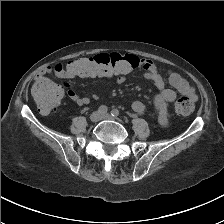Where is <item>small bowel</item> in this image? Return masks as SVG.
Returning a JSON list of instances; mask_svg holds the SVG:
<instances>
[{
  "label": "small bowel",
  "instance_id": "c3829d8e",
  "mask_svg": "<svg viewBox=\"0 0 224 224\" xmlns=\"http://www.w3.org/2000/svg\"><path fill=\"white\" fill-rule=\"evenodd\" d=\"M139 66L143 71L144 77L150 80L158 89L161 90L154 98V105L158 115V122L161 125H166L168 123L169 103L176 99V91L185 96H188L193 101L197 100V95L193 87L177 72H168V82L172 88H165V81L151 60L146 58L139 59ZM50 73H53L62 79H71L76 77V74L70 69L69 66H64L62 63L57 62L42 69L36 76V81L47 80L52 82L47 77V75ZM126 75L127 74L115 75V82L117 84H123L126 81ZM65 89L68 96L78 105H87L90 103V99L88 97L79 96L76 94L72 86L69 84L65 86ZM132 109L138 114H143L146 107L143 102L135 100L132 103Z\"/></svg>",
  "mask_w": 224,
  "mask_h": 224
}]
</instances>
